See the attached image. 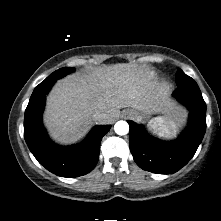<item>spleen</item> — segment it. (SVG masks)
I'll return each instance as SVG.
<instances>
[{
	"mask_svg": "<svg viewBox=\"0 0 221 221\" xmlns=\"http://www.w3.org/2000/svg\"><path fill=\"white\" fill-rule=\"evenodd\" d=\"M156 119L159 122H161V121L164 122V120L162 118H156ZM162 128H163L162 135L169 137V136H171L175 132L176 124L173 123V122H170L169 124H166L164 122V126Z\"/></svg>",
	"mask_w": 221,
	"mask_h": 221,
	"instance_id": "1",
	"label": "spleen"
}]
</instances>
